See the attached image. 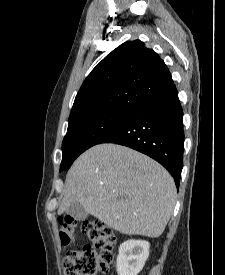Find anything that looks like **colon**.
<instances>
[{"instance_id":"obj_1","label":"colon","mask_w":225,"mask_h":275,"mask_svg":"<svg viewBox=\"0 0 225 275\" xmlns=\"http://www.w3.org/2000/svg\"><path fill=\"white\" fill-rule=\"evenodd\" d=\"M59 237L63 246L75 241L78 222L72 216L59 221ZM81 229L91 245L69 251L62 260L64 275H96L105 273L114 260L116 236L112 229L97 219L82 222Z\"/></svg>"}]
</instances>
